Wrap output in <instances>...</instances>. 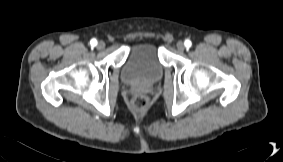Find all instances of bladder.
<instances>
[{
    "label": "bladder",
    "instance_id": "1",
    "mask_svg": "<svg viewBox=\"0 0 283 162\" xmlns=\"http://www.w3.org/2000/svg\"><path fill=\"white\" fill-rule=\"evenodd\" d=\"M163 72L157 45L151 41H140L130 48L121 78L126 83L151 84L158 81Z\"/></svg>",
    "mask_w": 283,
    "mask_h": 162
}]
</instances>
